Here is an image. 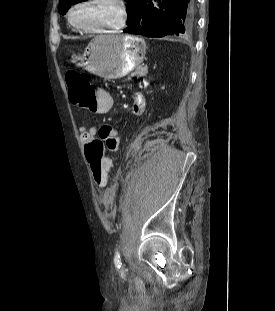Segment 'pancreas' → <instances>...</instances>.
Masks as SVG:
<instances>
[{"label":"pancreas","instance_id":"pancreas-1","mask_svg":"<svg viewBox=\"0 0 275 311\" xmlns=\"http://www.w3.org/2000/svg\"><path fill=\"white\" fill-rule=\"evenodd\" d=\"M147 73V67L140 66L136 69V71L132 74L133 76H144Z\"/></svg>","mask_w":275,"mask_h":311}]
</instances>
